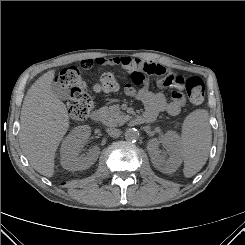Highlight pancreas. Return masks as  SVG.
<instances>
[{"mask_svg": "<svg viewBox=\"0 0 245 245\" xmlns=\"http://www.w3.org/2000/svg\"><path fill=\"white\" fill-rule=\"evenodd\" d=\"M101 120L106 126H118L125 122L126 116L117 105L103 107L99 110Z\"/></svg>", "mask_w": 245, "mask_h": 245, "instance_id": "pancreas-1", "label": "pancreas"}]
</instances>
